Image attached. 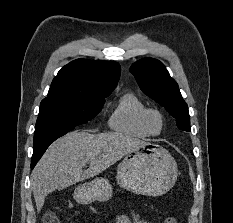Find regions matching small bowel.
I'll list each match as a JSON object with an SVG mask.
<instances>
[{"instance_id":"c3829d8e","label":"small bowel","mask_w":233,"mask_h":223,"mask_svg":"<svg viewBox=\"0 0 233 223\" xmlns=\"http://www.w3.org/2000/svg\"><path fill=\"white\" fill-rule=\"evenodd\" d=\"M114 223H149L146 219L140 216L137 212L131 211L130 216L124 213H116Z\"/></svg>"}]
</instances>
